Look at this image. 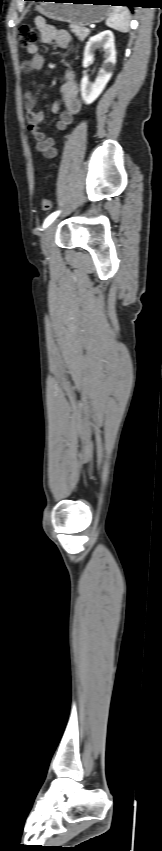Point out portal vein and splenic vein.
I'll use <instances>...</instances> for the list:
<instances>
[{
	"mask_svg": "<svg viewBox=\"0 0 162 851\" xmlns=\"http://www.w3.org/2000/svg\"><path fill=\"white\" fill-rule=\"evenodd\" d=\"M85 31H89V29H88V28H85Z\"/></svg>",
	"mask_w": 162,
	"mask_h": 851,
	"instance_id": "obj_1",
	"label": "portal vein and splenic vein"
}]
</instances>
